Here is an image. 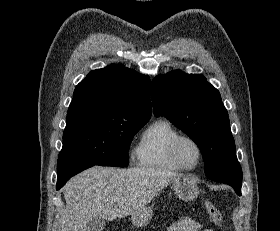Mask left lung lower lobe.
Wrapping results in <instances>:
<instances>
[{"instance_id":"left-lung-lower-lobe-1","label":"left lung lower lobe","mask_w":280,"mask_h":231,"mask_svg":"<svg viewBox=\"0 0 280 231\" xmlns=\"http://www.w3.org/2000/svg\"><path fill=\"white\" fill-rule=\"evenodd\" d=\"M208 178L232 186L237 195H241L242 170L239 163Z\"/></svg>"}]
</instances>
